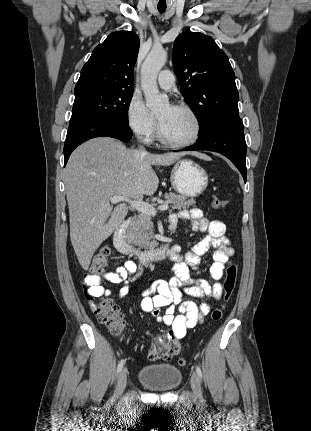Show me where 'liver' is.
Listing matches in <instances>:
<instances>
[{"instance_id":"6515ba94","label":"liver","mask_w":311,"mask_h":431,"mask_svg":"<svg viewBox=\"0 0 311 431\" xmlns=\"http://www.w3.org/2000/svg\"><path fill=\"white\" fill-rule=\"evenodd\" d=\"M197 152L142 154L127 150L114 138H93L71 154L65 168V188L70 217V239L83 269L104 239L124 221L127 204H110L112 196L142 202L153 196L159 180L152 166H172L180 158Z\"/></svg>"}]
</instances>
